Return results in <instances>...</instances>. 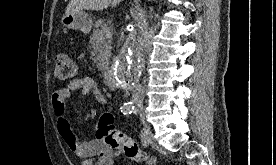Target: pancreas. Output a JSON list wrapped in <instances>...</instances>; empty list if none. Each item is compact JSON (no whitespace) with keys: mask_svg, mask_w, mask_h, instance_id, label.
<instances>
[{"mask_svg":"<svg viewBox=\"0 0 276 165\" xmlns=\"http://www.w3.org/2000/svg\"><path fill=\"white\" fill-rule=\"evenodd\" d=\"M111 42L112 37L103 36L101 29H94L90 36L91 54L99 71H104L109 66L112 50Z\"/></svg>","mask_w":276,"mask_h":165,"instance_id":"1","label":"pancreas"}]
</instances>
